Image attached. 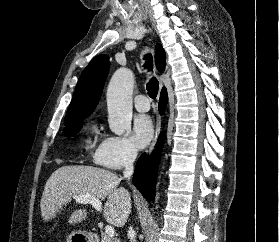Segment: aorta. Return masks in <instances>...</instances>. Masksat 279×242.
<instances>
[{
	"mask_svg": "<svg viewBox=\"0 0 279 242\" xmlns=\"http://www.w3.org/2000/svg\"><path fill=\"white\" fill-rule=\"evenodd\" d=\"M133 85V72L120 68L112 76L107 89L109 128L119 136L131 129Z\"/></svg>",
	"mask_w": 279,
	"mask_h": 242,
	"instance_id": "aorta-1",
	"label": "aorta"
}]
</instances>
